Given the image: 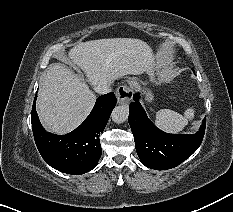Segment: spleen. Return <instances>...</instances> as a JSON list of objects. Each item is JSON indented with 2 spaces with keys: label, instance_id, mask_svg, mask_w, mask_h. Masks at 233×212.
<instances>
[{
  "label": "spleen",
  "instance_id": "3e777b00",
  "mask_svg": "<svg viewBox=\"0 0 233 212\" xmlns=\"http://www.w3.org/2000/svg\"><path fill=\"white\" fill-rule=\"evenodd\" d=\"M195 110L188 108L184 115L170 109H161L156 112L155 124L169 133H178L194 118Z\"/></svg>",
  "mask_w": 233,
  "mask_h": 212
}]
</instances>
